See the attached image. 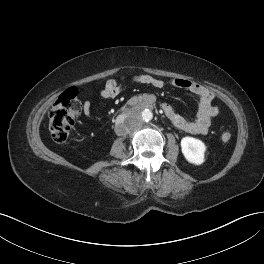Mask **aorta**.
<instances>
[{"instance_id": "1", "label": "aorta", "mask_w": 264, "mask_h": 264, "mask_svg": "<svg viewBox=\"0 0 264 264\" xmlns=\"http://www.w3.org/2000/svg\"><path fill=\"white\" fill-rule=\"evenodd\" d=\"M138 116H139L140 120L148 122V121L152 120L153 113L149 109H145V110L139 112Z\"/></svg>"}]
</instances>
